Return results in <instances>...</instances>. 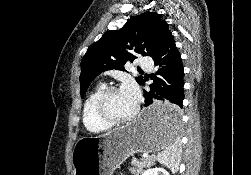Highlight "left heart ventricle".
Returning a JSON list of instances; mask_svg holds the SVG:
<instances>
[{
  "label": "left heart ventricle",
  "mask_w": 251,
  "mask_h": 175,
  "mask_svg": "<svg viewBox=\"0 0 251 175\" xmlns=\"http://www.w3.org/2000/svg\"><path fill=\"white\" fill-rule=\"evenodd\" d=\"M107 109L115 117L127 116L134 111L123 99L120 90L111 93L107 100Z\"/></svg>",
  "instance_id": "left-heart-ventricle-1"
}]
</instances>
